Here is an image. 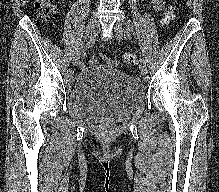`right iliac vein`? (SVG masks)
<instances>
[{
    "label": "right iliac vein",
    "mask_w": 219,
    "mask_h": 192,
    "mask_svg": "<svg viewBox=\"0 0 219 192\" xmlns=\"http://www.w3.org/2000/svg\"><path fill=\"white\" fill-rule=\"evenodd\" d=\"M97 25V19L96 17H91L88 24H87V28H86V32L84 35V40L85 42L92 36V34L95 31ZM85 51V47L82 45V47L79 48V50L77 51V54L75 55V57L73 58V65L76 66L79 63V60L82 56V54Z\"/></svg>",
    "instance_id": "63e3f726"
}]
</instances>
